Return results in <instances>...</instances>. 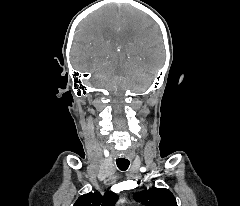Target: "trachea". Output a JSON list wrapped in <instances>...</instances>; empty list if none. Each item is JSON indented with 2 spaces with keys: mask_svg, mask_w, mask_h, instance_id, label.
<instances>
[{
  "mask_svg": "<svg viewBox=\"0 0 240 206\" xmlns=\"http://www.w3.org/2000/svg\"><path fill=\"white\" fill-rule=\"evenodd\" d=\"M116 163H117V167L122 171L127 170L130 164L129 160L127 159L116 160Z\"/></svg>",
  "mask_w": 240,
  "mask_h": 206,
  "instance_id": "trachea-1",
  "label": "trachea"
}]
</instances>
